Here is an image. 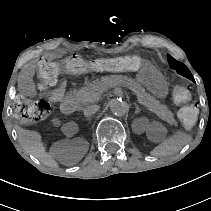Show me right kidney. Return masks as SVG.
Segmentation results:
<instances>
[{"instance_id": "1", "label": "right kidney", "mask_w": 211, "mask_h": 211, "mask_svg": "<svg viewBox=\"0 0 211 211\" xmlns=\"http://www.w3.org/2000/svg\"><path fill=\"white\" fill-rule=\"evenodd\" d=\"M61 129H62L63 133L69 137L76 134L79 130L78 125L73 121L66 123L65 125L62 126ZM50 153H51V151H50Z\"/></svg>"}]
</instances>
